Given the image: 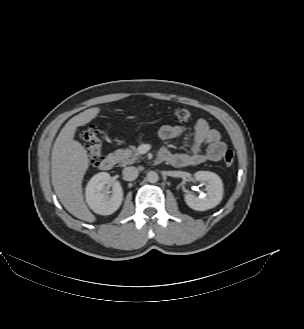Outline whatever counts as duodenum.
I'll return each mask as SVG.
<instances>
[{
    "instance_id": "obj_1",
    "label": "duodenum",
    "mask_w": 304,
    "mask_h": 329,
    "mask_svg": "<svg viewBox=\"0 0 304 329\" xmlns=\"http://www.w3.org/2000/svg\"><path fill=\"white\" fill-rule=\"evenodd\" d=\"M160 157L162 158L161 154ZM115 163H116V157L113 155H107L101 160L99 167L103 171H108L113 168Z\"/></svg>"
}]
</instances>
